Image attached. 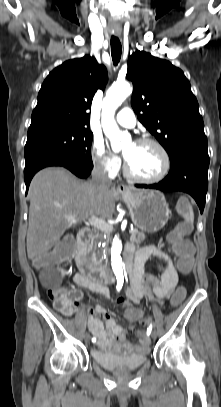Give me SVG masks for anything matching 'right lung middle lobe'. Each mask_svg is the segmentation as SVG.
Here are the masks:
<instances>
[{
  "label": "right lung middle lobe",
  "mask_w": 221,
  "mask_h": 407,
  "mask_svg": "<svg viewBox=\"0 0 221 407\" xmlns=\"http://www.w3.org/2000/svg\"><path fill=\"white\" fill-rule=\"evenodd\" d=\"M93 134L88 128L50 125L28 129L25 159L44 151L57 152L86 167H93L91 143Z\"/></svg>",
  "instance_id": "dd1d6c3e"
}]
</instances>
